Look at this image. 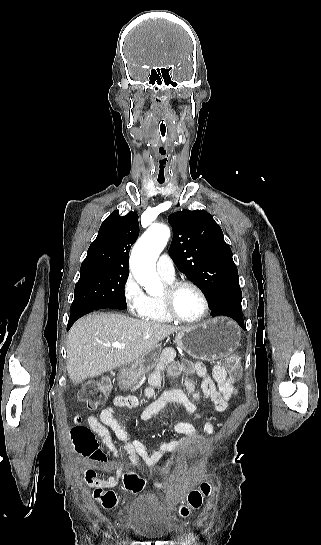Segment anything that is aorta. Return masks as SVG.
Here are the masks:
<instances>
[{
	"instance_id": "1",
	"label": "aorta",
	"mask_w": 321,
	"mask_h": 545,
	"mask_svg": "<svg viewBox=\"0 0 321 545\" xmlns=\"http://www.w3.org/2000/svg\"><path fill=\"white\" fill-rule=\"evenodd\" d=\"M169 237L170 230L166 225L154 224L140 237L131 252L132 274L150 294H156L163 288L156 273V261Z\"/></svg>"
}]
</instances>
